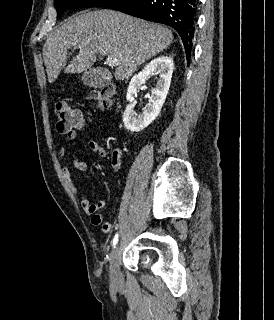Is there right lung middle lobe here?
<instances>
[{
  "label": "right lung middle lobe",
  "mask_w": 274,
  "mask_h": 320,
  "mask_svg": "<svg viewBox=\"0 0 274 320\" xmlns=\"http://www.w3.org/2000/svg\"><path fill=\"white\" fill-rule=\"evenodd\" d=\"M111 0H55V7L59 18L64 11L74 8L102 7Z\"/></svg>",
  "instance_id": "1"
}]
</instances>
